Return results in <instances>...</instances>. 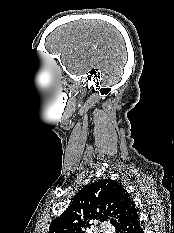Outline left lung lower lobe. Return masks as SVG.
<instances>
[{
    "instance_id": "left-lung-lower-lobe-1",
    "label": "left lung lower lobe",
    "mask_w": 174,
    "mask_h": 233,
    "mask_svg": "<svg viewBox=\"0 0 174 233\" xmlns=\"http://www.w3.org/2000/svg\"><path fill=\"white\" fill-rule=\"evenodd\" d=\"M116 228L119 233H144L137 211Z\"/></svg>"
}]
</instances>
